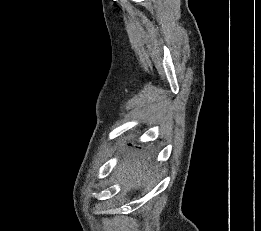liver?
I'll return each mask as SVG.
<instances>
[{
	"label": "liver",
	"mask_w": 261,
	"mask_h": 231,
	"mask_svg": "<svg viewBox=\"0 0 261 231\" xmlns=\"http://www.w3.org/2000/svg\"><path fill=\"white\" fill-rule=\"evenodd\" d=\"M115 174L120 178L124 188L139 189L145 182L151 180L147 164L130 158L122 161Z\"/></svg>",
	"instance_id": "obj_1"
}]
</instances>
